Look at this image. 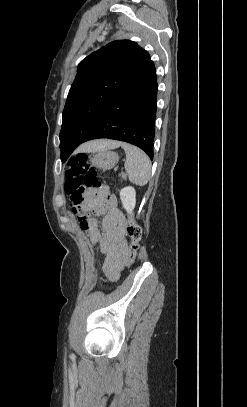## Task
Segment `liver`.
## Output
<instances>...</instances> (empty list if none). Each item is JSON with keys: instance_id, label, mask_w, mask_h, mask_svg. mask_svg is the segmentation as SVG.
<instances>
[{"instance_id": "obj_1", "label": "liver", "mask_w": 247, "mask_h": 407, "mask_svg": "<svg viewBox=\"0 0 247 407\" xmlns=\"http://www.w3.org/2000/svg\"><path fill=\"white\" fill-rule=\"evenodd\" d=\"M121 145V142L114 140H97L83 144L78 151L82 152H97L102 150H108L117 148Z\"/></svg>"}]
</instances>
